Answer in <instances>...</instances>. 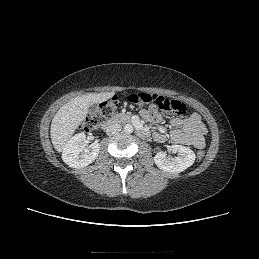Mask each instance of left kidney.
<instances>
[{"label": "left kidney", "instance_id": "5707ae66", "mask_svg": "<svg viewBox=\"0 0 259 259\" xmlns=\"http://www.w3.org/2000/svg\"><path fill=\"white\" fill-rule=\"evenodd\" d=\"M177 157H167L163 151L154 156V162L157 167L163 171L179 173L192 166L195 161V153L188 147L182 145H172L169 147Z\"/></svg>", "mask_w": 259, "mask_h": 259}]
</instances>
